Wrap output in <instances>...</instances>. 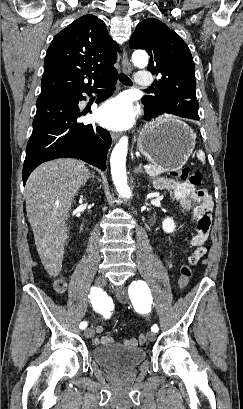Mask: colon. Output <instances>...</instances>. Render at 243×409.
<instances>
[{
  "instance_id": "obj_1",
  "label": "colon",
  "mask_w": 243,
  "mask_h": 409,
  "mask_svg": "<svg viewBox=\"0 0 243 409\" xmlns=\"http://www.w3.org/2000/svg\"><path fill=\"white\" fill-rule=\"evenodd\" d=\"M173 178L176 180H187L190 184L194 187H199L202 182V175L200 173H192L190 168L183 167L180 168L172 173ZM192 276L191 266L187 263H184L180 268V278L178 285L181 289H184L187 285ZM66 285L63 281H58L55 284V290L58 293H63L65 291ZM138 341L140 344H144L146 342L145 335H140L138 337Z\"/></svg>"
}]
</instances>
